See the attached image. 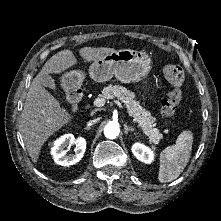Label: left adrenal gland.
Here are the masks:
<instances>
[{
  "label": "left adrenal gland",
  "instance_id": "left-adrenal-gland-1",
  "mask_svg": "<svg viewBox=\"0 0 221 221\" xmlns=\"http://www.w3.org/2000/svg\"><path fill=\"white\" fill-rule=\"evenodd\" d=\"M124 132H125V135L127 136L128 132H134V128L128 126L127 124H124Z\"/></svg>",
  "mask_w": 221,
  "mask_h": 221
}]
</instances>
